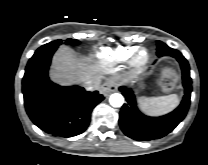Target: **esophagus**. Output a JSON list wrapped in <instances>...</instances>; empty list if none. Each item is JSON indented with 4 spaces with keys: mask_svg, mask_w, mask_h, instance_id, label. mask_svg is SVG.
Listing matches in <instances>:
<instances>
[{
    "mask_svg": "<svg viewBox=\"0 0 208 165\" xmlns=\"http://www.w3.org/2000/svg\"><path fill=\"white\" fill-rule=\"evenodd\" d=\"M117 90V86L113 80H107L101 86V91L105 96H109L111 93Z\"/></svg>",
    "mask_w": 208,
    "mask_h": 165,
    "instance_id": "34e87169",
    "label": "esophagus"
}]
</instances>
